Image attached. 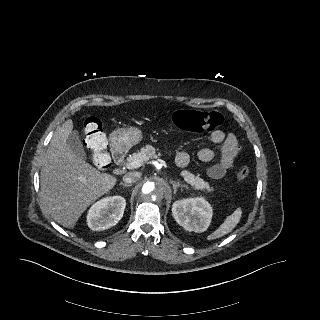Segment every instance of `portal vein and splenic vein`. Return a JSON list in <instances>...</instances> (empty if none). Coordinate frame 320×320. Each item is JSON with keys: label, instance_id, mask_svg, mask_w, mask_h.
<instances>
[{"label": "portal vein and splenic vein", "instance_id": "portal-vein-and-splenic-vein-1", "mask_svg": "<svg viewBox=\"0 0 320 320\" xmlns=\"http://www.w3.org/2000/svg\"><path fill=\"white\" fill-rule=\"evenodd\" d=\"M158 161L161 163L162 166L166 165V163L163 160L158 159ZM140 166H141V161H133V162H128L125 164V168H127V169H135Z\"/></svg>", "mask_w": 320, "mask_h": 320}]
</instances>
